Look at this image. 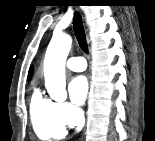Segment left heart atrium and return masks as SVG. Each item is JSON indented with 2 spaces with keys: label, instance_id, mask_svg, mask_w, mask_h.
<instances>
[{
  "label": "left heart atrium",
  "instance_id": "left-heart-atrium-1",
  "mask_svg": "<svg viewBox=\"0 0 155 141\" xmlns=\"http://www.w3.org/2000/svg\"><path fill=\"white\" fill-rule=\"evenodd\" d=\"M88 81L85 76H77L69 84V93L72 101L81 105L85 102L88 95Z\"/></svg>",
  "mask_w": 155,
  "mask_h": 141
}]
</instances>
